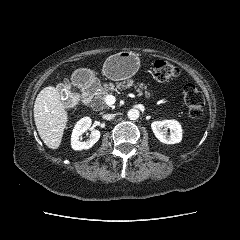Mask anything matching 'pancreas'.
Masks as SVG:
<instances>
[{"mask_svg": "<svg viewBox=\"0 0 240 240\" xmlns=\"http://www.w3.org/2000/svg\"><path fill=\"white\" fill-rule=\"evenodd\" d=\"M132 86H135L137 92L140 95L144 94L147 98L151 97V93L148 91L147 86L144 83L135 85L133 80H127L116 84L110 82L108 84L107 83L103 84V86L100 87L99 91L96 92L95 100L92 103V108L94 110L107 109L108 105L105 103L106 96L110 95L114 90L131 88Z\"/></svg>", "mask_w": 240, "mask_h": 240, "instance_id": "cf45deb5", "label": "pancreas"}]
</instances>
